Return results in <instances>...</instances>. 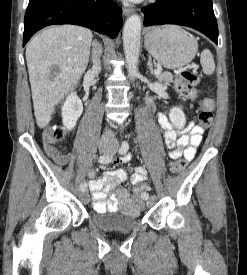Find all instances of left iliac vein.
I'll list each match as a JSON object with an SVG mask.
<instances>
[{
  "label": "left iliac vein",
  "mask_w": 247,
  "mask_h": 275,
  "mask_svg": "<svg viewBox=\"0 0 247 275\" xmlns=\"http://www.w3.org/2000/svg\"><path fill=\"white\" fill-rule=\"evenodd\" d=\"M117 146H115V149L113 150V152L116 150ZM155 202V196L151 197L150 199L146 200V205L148 207H151Z\"/></svg>",
  "instance_id": "obj_1"
}]
</instances>
